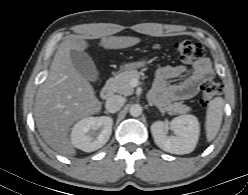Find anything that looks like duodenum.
I'll use <instances>...</instances> for the list:
<instances>
[{
	"mask_svg": "<svg viewBox=\"0 0 248 195\" xmlns=\"http://www.w3.org/2000/svg\"><path fill=\"white\" fill-rule=\"evenodd\" d=\"M101 98L104 100L110 99L114 95V77H110L100 92Z\"/></svg>",
	"mask_w": 248,
	"mask_h": 195,
	"instance_id": "duodenum-1",
	"label": "duodenum"
}]
</instances>
